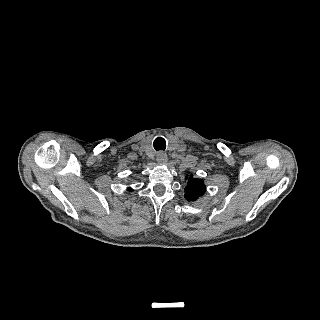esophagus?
Instances as JSON below:
<instances>
[{
  "mask_svg": "<svg viewBox=\"0 0 320 320\" xmlns=\"http://www.w3.org/2000/svg\"><path fill=\"white\" fill-rule=\"evenodd\" d=\"M156 160H157V162H158L159 164H164V163H166V162H167V155H166V153H164V152H159V153L157 154Z\"/></svg>",
  "mask_w": 320,
  "mask_h": 320,
  "instance_id": "1",
  "label": "esophagus"
}]
</instances>
